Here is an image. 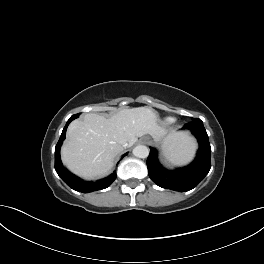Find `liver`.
<instances>
[{
    "instance_id": "obj_1",
    "label": "liver",
    "mask_w": 264,
    "mask_h": 264,
    "mask_svg": "<svg viewBox=\"0 0 264 264\" xmlns=\"http://www.w3.org/2000/svg\"><path fill=\"white\" fill-rule=\"evenodd\" d=\"M146 134L155 141L165 135L156 113L148 107L123 109L108 119L88 113L69 125L61 158L69 170L83 178L101 177L109 173L114 158L124 147H131ZM177 136L165 141L171 143Z\"/></svg>"
}]
</instances>
